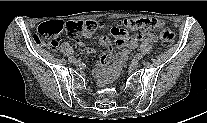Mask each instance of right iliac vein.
<instances>
[{
	"label": "right iliac vein",
	"mask_w": 207,
	"mask_h": 123,
	"mask_svg": "<svg viewBox=\"0 0 207 123\" xmlns=\"http://www.w3.org/2000/svg\"><path fill=\"white\" fill-rule=\"evenodd\" d=\"M72 63H74L75 65H79L80 64V61L75 59Z\"/></svg>",
	"instance_id": "right-iliac-vein-1"
}]
</instances>
